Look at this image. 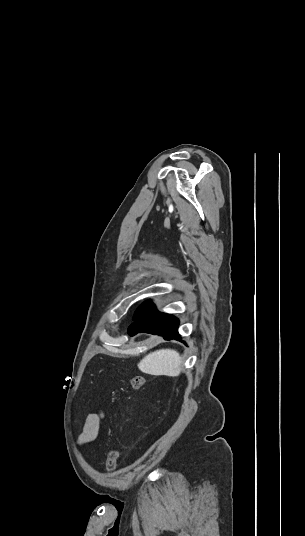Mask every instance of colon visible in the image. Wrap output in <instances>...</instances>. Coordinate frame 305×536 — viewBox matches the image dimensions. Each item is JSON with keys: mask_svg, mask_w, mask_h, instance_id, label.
<instances>
[{"mask_svg": "<svg viewBox=\"0 0 305 536\" xmlns=\"http://www.w3.org/2000/svg\"><path fill=\"white\" fill-rule=\"evenodd\" d=\"M131 387L133 389H138L144 386L145 378L143 375H134L130 380ZM118 462V452L116 449L112 448L109 450L107 456V468L110 472L115 471Z\"/></svg>", "mask_w": 305, "mask_h": 536, "instance_id": "colon-1", "label": "colon"}]
</instances>
